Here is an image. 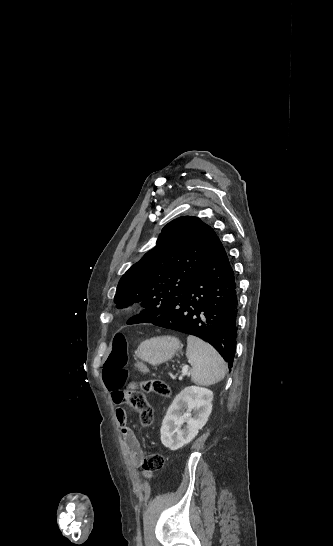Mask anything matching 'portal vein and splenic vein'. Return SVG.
Wrapping results in <instances>:
<instances>
[{
	"instance_id": "portal-vein-and-splenic-vein-1",
	"label": "portal vein and splenic vein",
	"mask_w": 333,
	"mask_h": 546,
	"mask_svg": "<svg viewBox=\"0 0 333 546\" xmlns=\"http://www.w3.org/2000/svg\"><path fill=\"white\" fill-rule=\"evenodd\" d=\"M187 372H188V366H185L183 368L182 374L185 375V374H187Z\"/></svg>"
}]
</instances>
